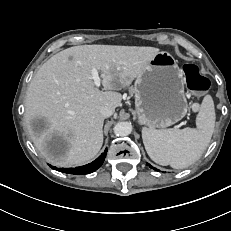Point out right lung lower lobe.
<instances>
[{
	"label": "right lung lower lobe",
	"instance_id": "right-lung-lower-lobe-1",
	"mask_svg": "<svg viewBox=\"0 0 231 231\" xmlns=\"http://www.w3.org/2000/svg\"><path fill=\"white\" fill-rule=\"evenodd\" d=\"M107 149L93 162L81 166V167H76V168H56L51 166L53 169L60 171V172H65L69 174H75V175H83V174H89L94 171H96L104 162L105 157H106Z\"/></svg>",
	"mask_w": 231,
	"mask_h": 231
}]
</instances>
